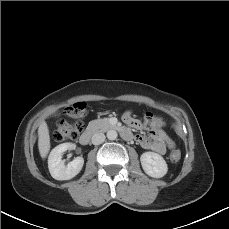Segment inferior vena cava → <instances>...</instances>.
Here are the masks:
<instances>
[{
    "instance_id": "1",
    "label": "inferior vena cava",
    "mask_w": 229,
    "mask_h": 229,
    "mask_svg": "<svg viewBox=\"0 0 229 229\" xmlns=\"http://www.w3.org/2000/svg\"><path fill=\"white\" fill-rule=\"evenodd\" d=\"M105 141V135L103 133H95L92 136V143L94 145H99Z\"/></svg>"
}]
</instances>
